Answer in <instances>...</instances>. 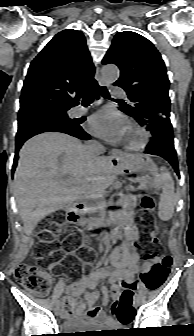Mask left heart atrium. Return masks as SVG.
<instances>
[{"label":"left heart atrium","mask_w":194,"mask_h":336,"mask_svg":"<svg viewBox=\"0 0 194 336\" xmlns=\"http://www.w3.org/2000/svg\"><path fill=\"white\" fill-rule=\"evenodd\" d=\"M88 128L95 136L117 142L124 138L127 124L121 113L112 108H104L90 118Z\"/></svg>","instance_id":"1"}]
</instances>
